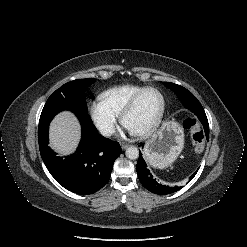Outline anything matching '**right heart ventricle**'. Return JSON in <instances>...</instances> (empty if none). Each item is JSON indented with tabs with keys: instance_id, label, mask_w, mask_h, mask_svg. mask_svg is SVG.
Listing matches in <instances>:
<instances>
[{
	"instance_id": "e07e8e85",
	"label": "right heart ventricle",
	"mask_w": 247,
	"mask_h": 247,
	"mask_svg": "<svg viewBox=\"0 0 247 247\" xmlns=\"http://www.w3.org/2000/svg\"><path fill=\"white\" fill-rule=\"evenodd\" d=\"M144 88L133 84L116 86L102 92L100 99L110 111L119 116L133 96Z\"/></svg>"
}]
</instances>
